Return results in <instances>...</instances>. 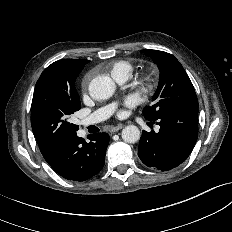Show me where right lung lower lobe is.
<instances>
[{"mask_svg": "<svg viewBox=\"0 0 232 232\" xmlns=\"http://www.w3.org/2000/svg\"><path fill=\"white\" fill-rule=\"evenodd\" d=\"M85 142L77 134L62 142L48 163L56 173L72 181H85L97 174L105 164L110 140L107 133H96Z\"/></svg>", "mask_w": 232, "mask_h": 232, "instance_id": "1", "label": "right lung lower lobe"}]
</instances>
